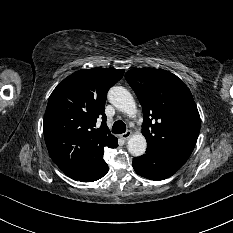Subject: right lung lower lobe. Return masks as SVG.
I'll list each match as a JSON object with an SVG mask.
<instances>
[{"label": "right lung lower lobe", "mask_w": 233, "mask_h": 233, "mask_svg": "<svg viewBox=\"0 0 233 233\" xmlns=\"http://www.w3.org/2000/svg\"><path fill=\"white\" fill-rule=\"evenodd\" d=\"M70 178L81 181V182H93L103 176L108 172V165L105 161L98 168H75L62 170Z\"/></svg>", "instance_id": "obj_1"}]
</instances>
